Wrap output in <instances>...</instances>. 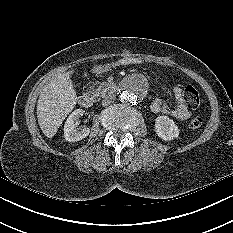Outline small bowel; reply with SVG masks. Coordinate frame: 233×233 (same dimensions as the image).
<instances>
[{
    "label": "small bowel",
    "mask_w": 233,
    "mask_h": 233,
    "mask_svg": "<svg viewBox=\"0 0 233 233\" xmlns=\"http://www.w3.org/2000/svg\"><path fill=\"white\" fill-rule=\"evenodd\" d=\"M176 104L169 105L163 99L157 98L151 105V110L154 113L169 115L177 120L184 121L191 116V112L187 107L184 99V93L181 87L175 86L173 89Z\"/></svg>",
    "instance_id": "small-bowel-1"
}]
</instances>
